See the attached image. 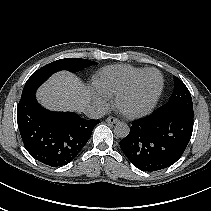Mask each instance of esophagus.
Segmentation results:
<instances>
[{
    "label": "esophagus",
    "mask_w": 211,
    "mask_h": 211,
    "mask_svg": "<svg viewBox=\"0 0 211 211\" xmlns=\"http://www.w3.org/2000/svg\"><path fill=\"white\" fill-rule=\"evenodd\" d=\"M106 122L109 123V124H116V123L119 122V119L110 116V117H108V118L106 119Z\"/></svg>",
    "instance_id": "34e87169"
}]
</instances>
